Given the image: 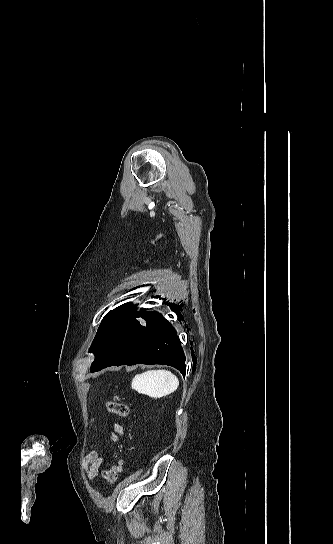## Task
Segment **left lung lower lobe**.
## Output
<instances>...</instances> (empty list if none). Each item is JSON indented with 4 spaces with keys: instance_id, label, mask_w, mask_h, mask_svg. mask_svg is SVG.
Returning <instances> with one entry per match:
<instances>
[{
    "instance_id": "0a47b994",
    "label": "left lung lower lobe",
    "mask_w": 333,
    "mask_h": 544,
    "mask_svg": "<svg viewBox=\"0 0 333 544\" xmlns=\"http://www.w3.org/2000/svg\"><path fill=\"white\" fill-rule=\"evenodd\" d=\"M103 361L91 372L109 366L135 364H165L178 369L185 375L186 357L174 327L162 318L151 327L137 325L130 341L122 349H109L104 352Z\"/></svg>"
}]
</instances>
